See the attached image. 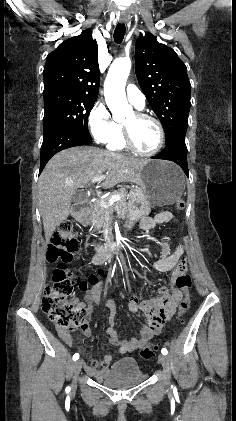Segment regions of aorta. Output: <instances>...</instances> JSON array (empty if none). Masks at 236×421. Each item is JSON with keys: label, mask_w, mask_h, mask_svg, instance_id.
<instances>
[{"label": "aorta", "mask_w": 236, "mask_h": 421, "mask_svg": "<svg viewBox=\"0 0 236 421\" xmlns=\"http://www.w3.org/2000/svg\"><path fill=\"white\" fill-rule=\"evenodd\" d=\"M132 62L130 56L117 58L112 62L106 80L104 82L105 100L112 112L117 102L126 100L125 84L131 70ZM127 102V100H126Z\"/></svg>", "instance_id": "obj_1"}]
</instances>
